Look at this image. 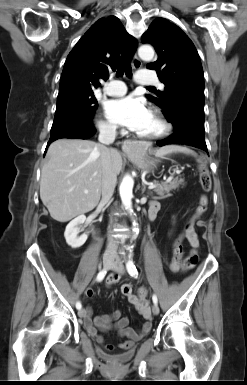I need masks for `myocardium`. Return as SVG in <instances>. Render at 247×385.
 Wrapping results in <instances>:
<instances>
[{
  "label": "myocardium",
  "instance_id": "f54148a6",
  "mask_svg": "<svg viewBox=\"0 0 247 385\" xmlns=\"http://www.w3.org/2000/svg\"><path fill=\"white\" fill-rule=\"evenodd\" d=\"M151 114L156 118V120L160 124V129L153 134H148V135L137 134V136L145 140H157L169 135V133L172 130V126L170 122L166 119V117L163 115V113L159 109H153L151 111Z\"/></svg>",
  "mask_w": 247,
  "mask_h": 385
}]
</instances>
